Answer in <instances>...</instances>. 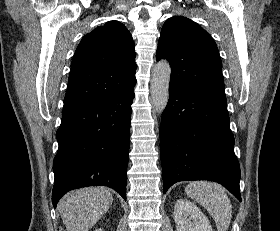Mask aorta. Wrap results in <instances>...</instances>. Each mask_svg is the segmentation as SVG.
<instances>
[{"instance_id": "762f6f07", "label": "aorta", "mask_w": 280, "mask_h": 231, "mask_svg": "<svg viewBox=\"0 0 280 231\" xmlns=\"http://www.w3.org/2000/svg\"><path fill=\"white\" fill-rule=\"evenodd\" d=\"M170 74V64L166 60H160L152 70L151 104L158 116H161L168 104Z\"/></svg>"}]
</instances>
